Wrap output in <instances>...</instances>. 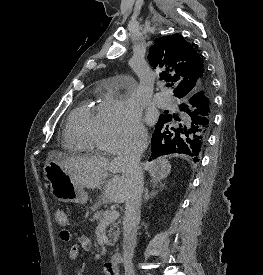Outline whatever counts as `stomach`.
<instances>
[{
    "instance_id": "0dacf381",
    "label": "stomach",
    "mask_w": 263,
    "mask_h": 275,
    "mask_svg": "<svg viewBox=\"0 0 263 275\" xmlns=\"http://www.w3.org/2000/svg\"><path fill=\"white\" fill-rule=\"evenodd\" d=\"M43 171L54 198L62 202L78 204H84L88 201L87 192L56 161H47Z\"/></svg>"
}]
</instances>
